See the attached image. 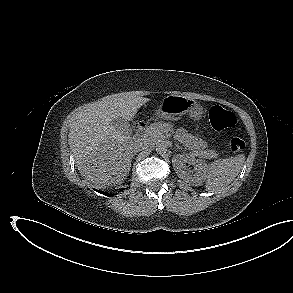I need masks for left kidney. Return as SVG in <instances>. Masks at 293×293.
<instances>
[{
    "mask_svg": "<svg viewBox=\"0 0 293 293\" xmlns=\"http://www.w3.org/2000/svg\"><path fill=\"white\" fill-rule=\"evenodd\" d=\"M174 170L177 175L188 183H201L207 164L201 159H195L193 154H177L172 159ZM185 163L194 166V174L186 171Z\"/></svg>",
    "mask_w": 293,
    "mask_h": 293,
    "instance_id": "obj_1",
    "label": "left kidney"
}]
</instances>
